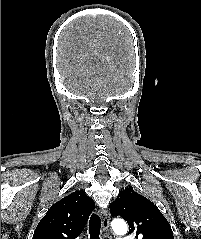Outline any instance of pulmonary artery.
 <instances>
[{
	"mask_svg": "<svg viewBox=\"0 0 201 239\" xmlns=\"http://www.w3.org/2000/svg\"><path fill=\"white\" fill-rule=\"evenodd\" d=\"M117 239H131V237H129V236H121V237H118Z\"/></svg>",
	"mask_w": 201,
	"mask_h": 239,
	"instance_id": "pulmonary-artery-1",
	"label": "pulmonary artery"
}]
</instances>
